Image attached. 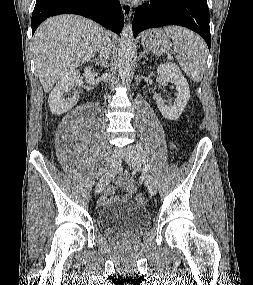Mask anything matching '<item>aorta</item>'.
<instances>
[{"label":"aorta","mask_w":253,"mask_h":285,"mask_svg":"<svg viewBox=\"0 0 253 285\" xmlns=\"http://www.w3.org/2000/svg\"><path fill=\"white\" fill-rule=\"evenodd\" d=\"M133 40L132 24L124 25L118 49V72L121 79L126 78L131 70L135 53Z\"/></svg>","instance_id":"762f6f07"}]
</instances>
